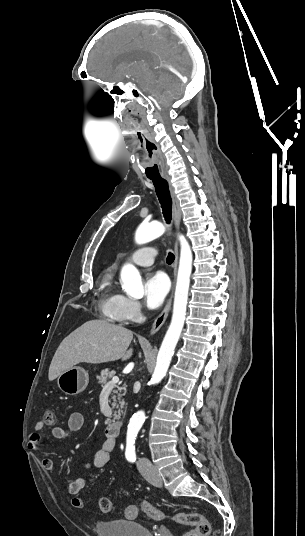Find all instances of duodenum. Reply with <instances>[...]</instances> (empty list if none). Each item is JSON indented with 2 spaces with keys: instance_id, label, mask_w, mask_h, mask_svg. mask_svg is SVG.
Returning <instances> with one entry per match:
<instances>
[{
  "instance_id": "duodenum-1",
  "label": "duodenum",
  "mask_w": 305,
  "mask_h": 536,
  "mask_svg": "<svg viewBox=\"0 0 305 536\" xmlns=\"http://www.w3.org/2000/svg\"><path fill=\"white\" fill-rule=\"evenodd\" d=\"M123 431V423L121 421H114L106 425L105 433L109 439H113L121 435Z\"/></svg>"
}]
</instances>
